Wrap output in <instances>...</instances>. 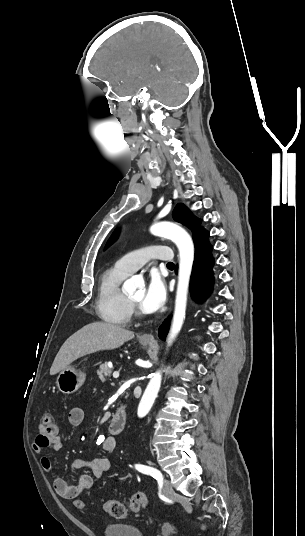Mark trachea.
<instances>
[{
    "mask_svg": "<svg viewBox=\"0 0 305 536\" xmlns=\"http://www.w3.org/2000/svg\"><path fill=\"white\" fill-rule=\"evenodd\" d=\"M174 266H175V265H174V263H172V261H169V263H167V268H168L169 270H173V269H174Z\"/></svg>",
    "mask_w": 305,
    "mask_h": 536,
    "instance_id": "3493384b",
    "label": "trachea"
}]
</instances>
